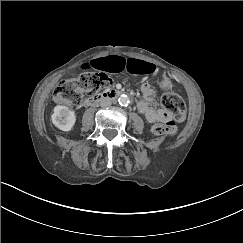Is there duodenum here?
<instances>
[{"label": "duodenum", "instance_id": "obj_1", "mask_svg": "<svg viewBox=\"0 0 243 243\" xmlns=\"http://www.w3.org/2000/svg\"><path fill=\"white\" fill-rule=\"evenodd\" d=\"M122 93L121 90H117V89H110V90H106L103 91L99 94L87 97L83 104L86 107H90V106H94L98 103H100L101 101H105V100H114L116 99L120 94Z\"/></svg>", "mask_w": 243, "mask_h": 243}]
</instances>
